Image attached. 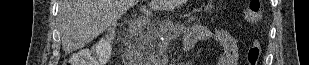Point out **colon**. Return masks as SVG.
I'll return each instance as SVG.
<instances>
[{"label":"colon","instance_id":"colon-1","mask_svg":"<svg viewBox=\"0 0 309 65\" xmlns=\"http://www.w3.org/2000/svg\"><path fill=\"white\" fill-rule=\"evenodd\" d=\"M262 10L258 0H252L243 12L244 20L249 24H254L261 19ZM114 36L106 34L97 40L90 49L80 50L76 58L72 61L74 65H101L105 64L112 53ZM262 53L261 43L254 40L247 51V64L259 65Z\"/></svg>","mask_w":309,"mask_h":65}]
</instances>
